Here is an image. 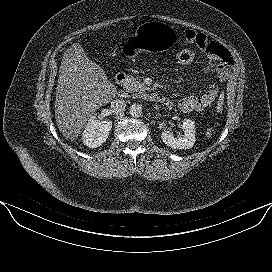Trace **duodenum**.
I'll use <instances>...</instances> for the list:
<instances>
[{
	"instance_id": "1",
	"label": "duodenum",
	"mask_w": 272,
	"mask_h": 272,
	"mask_svg": "<svg viewBox=\"0 0 272 272\" xmlns=\"http://www.w3.org/2000/svg\"><path fill=\"white\" fill-rule=\"evenodd\" d=\"M126 79H127V75L123 72L118 73L115 77L116 84L119 86H121L126 81ZM143 96L155 103H159L163 105L171 104V100L169 97L158 92H146L143 94Z\"/></svg>"
}]
</instances>
